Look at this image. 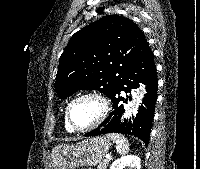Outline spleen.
Returning a JSON list of instances; mask_svg holds the SVG:
<instances>
[{
  "label": "spleen",
  "mask_w": 200,
  "mask_h": 169,
  "mask_svg": "<svg viewBox=\"0 0 200 169\" xmlns=\"http://www.w3.org/2000/svg\"><path fill=\"white\" fill-rule=\"evenodd\" d=\"M115 144L117 151L121 154H127L129 152V142L127 138L120 134L110 133L107 135Z\"/></svg>",
  "instance_id": "obj_1"
}]
</instances>
